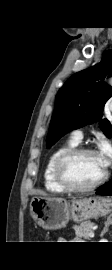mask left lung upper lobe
Listing matches in <instances>:
<instances>
[{
  "instance_id": "obj_1",
  "label": "left lung upper lobe",
  "mask_w": 112,
  "mask_h": 270,
  "mask_svg": "<svg viewBox=\"0 0 112 270\" xmlns=\"http://www.w3.org/2000/svg\"><path fill=\"white\" fill-rule=\"evenodd\" d=\"M112 76V51L105 53L101 62L71 76L56 95L46 146L50 148L71 130L101 120L105 103L112 96V88L102 79ZM100 129L112 137V126L104 119Z\"/></svg>"
}]
</instances>
